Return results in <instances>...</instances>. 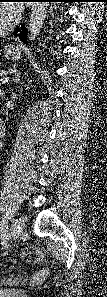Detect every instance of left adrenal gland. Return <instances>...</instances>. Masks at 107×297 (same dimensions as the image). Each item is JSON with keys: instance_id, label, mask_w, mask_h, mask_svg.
I'll use <instances>...</instances> for the list:
<instances>
[{"instance_id": "a2214340", "label": "left adrenal gland", "mask_w": 107, "mask_h": 297, "mask_svg": "<svg viewBox=\"0 0 107 297\" xmlns=\"http://www.w3.org/2000/svg\"><path fill=\"white\" fill-rule=\"evenodd\" d=\"M14 81L15 83H18L20 81V71L15 73Z\"/></svg>"}]
</instances>
